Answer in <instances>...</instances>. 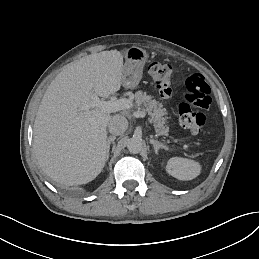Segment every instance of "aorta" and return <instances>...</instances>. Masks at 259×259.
Masks as SVG:
<instances>
[{"instance_id":"obj_1","label":"aorta","mask_w":259,"mask_h":259,"mask_svg":"<svg viewBox=\"0 0 259 259\" xmlns=\"http://www.w3.org/2000/svg\"><path fill=\"white\" fill-rule=\"evenodd\" d=\"M127 148L131 153H139L143 148L142 140L139 138H130L127 142Z\"/></svg>"}]
</instances>
